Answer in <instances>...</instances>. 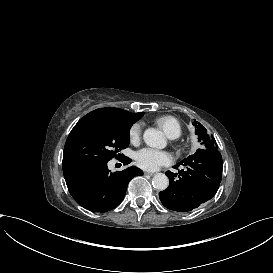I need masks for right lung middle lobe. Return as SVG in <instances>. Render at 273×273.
<instances>
[{
  "label": "right lung middle lobe",
  "mask_w": 273,
  "mask_h": 273,
  "mask_svg": "<svg viewBox=\"0 0 273 273\" xmlns=\"http://www.w3.org/2000/svg\"><path fill=\"white\" fill-rule=\"evenodd\" d=\"M131 125L87 114L71 130L64 147L63 170L82 163L107 162L129 145ZM118 153V154H117Z\"/></svg>",
  "instance_id": "right-lung-middle-lobe-1"
}]
</instances>
